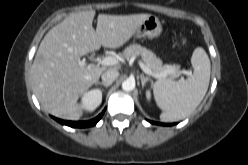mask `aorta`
<instances>
[{"instance_id": "1", "label": "aorta", "mask_w": 248, "mask_h": 165, "mask_svg": "<svg viewBox=\"0 0 248 165\" xmlns=\"http://www.w3.org/2000/svg\"><path fill=\"white\" fill-rule=\"evenodd\" d=\"M135 88V80L133 79H126L122 83V89L124 91H132Z\"/></svg>"}]
</instances>
